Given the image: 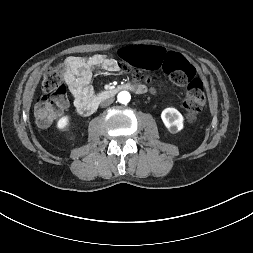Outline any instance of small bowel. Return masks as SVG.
Segmentation results:
<instances>
[{
    "label": "small bowel",
    "mask_w": 253,
    "mask_h": 253,
    "mask_svg": "<svg viewBox=\"0 0 253 253\" xmlns=\"http://www.w3.org/2000/svg\"><path fill=\"white\" fill-rule=\"evenodd\" d=\"M65 66L64 78L76 106L93 98L94 89L90 82L95 70L101 68L106 72L114 73L120 69L117 60L104 54H95L89 57L69 56L65 60ZM133 86L137 93L154 92L153 88H148L137 79H134Z\"/></svg>",
    "instance_id": "1"
}]
</instances>
